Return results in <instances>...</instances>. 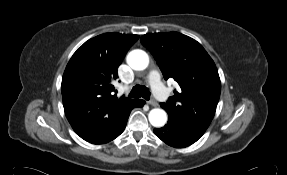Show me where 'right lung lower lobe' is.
<instances>
[{"label": "right lung lower lobe", "instance_id": "right-lung-lower-lobe-1", "mask_svg": "<svg viewBox=\"0 0 287 175\" xmlns=\"http://www.w3.org/2000/svg\"><path fill=\"white\" fill-rule=\"evenodd\" d=\"M145 104L143 100H139L138 102L135 103V105L122 117V119L119 121V123L108 133H106L104 136L100 137L99 139L91 142L93 144H104L108 143L112 140H114L116 137H118L123 130L125 129L129 114L131 110L134 107H142Z\"/></svg>", "mask_w": 287, "mask_h": 175}]
</instances>
